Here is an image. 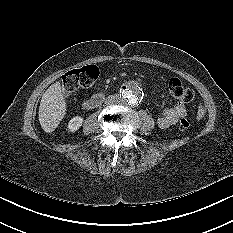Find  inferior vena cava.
<instances>
[{
	"label": "inferior vena cava",
	"instance_id": "inferior-vena-cava-1",
	"mask_svg": "<svg viewBox=\"0 0 233 233\" xmlns=\"http://www.w3.org/2000/svg\"><path fill=\"white\" fill-rule=\"evenodd\" d=\"M120 102V97L118 95H110L106 98L105 104L106 105H115Z\"/></svg>",
	"mask_w": 233,
	"mask_h": 233
}]
</instances>
